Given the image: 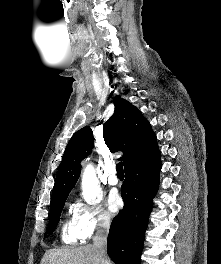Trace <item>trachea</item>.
Listing matches in <instances>:
<instances>
[{
    "label": "trachea",
    "instance_id": "obj_1",
    "mask_svg": "<svg viewBox=\"0 0 221 264\" xmlns=\"http://www.w3.org/2000/svg\"><path fill=\"white\" fill-rule=\"evenodd\" d=\"M116 170H117V175H124L123 163L122 162H119L116 165Z\"/></svg>",
    "mask_w": 221,
    "mask_h": 264
}]
</instances>
